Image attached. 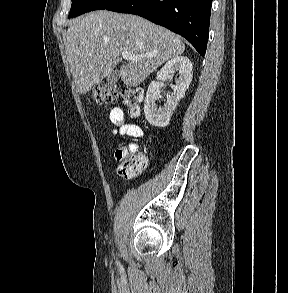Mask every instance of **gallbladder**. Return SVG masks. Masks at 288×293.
<instances>
[{
    "label": "gallbladder",
    "instance_id": "1",
    "mask_svg": "<svg viewBox=\"0 0 288 293\" xmlns=\"http://www.w3.org/2000/svg\"><path fill=\"white\" fill-rule=\"evenodd\" d=\"M119 70L115 69L113 72L107 77V84L109 86H113L119 80Z\"/></svg>",
    "mask_w": 288,
    "mask_h": 293
}]
</instances>
